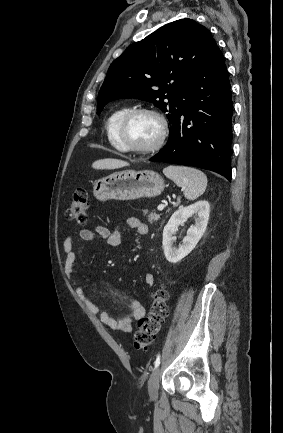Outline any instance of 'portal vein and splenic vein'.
<instances>
[{"label":"portal vein and splenic vein","instance_id":"obj_1","mask_svg":"<svg viewBox=\"0 0 283 433\" xmlns=\"http://www.w3.org/2000/svg\"><path fill=\"white\" fill-rule=\"evenodd\" d=\"M164 206H166V204H159V206H157L158 210H163Z\"/></svg>","mask_w":283,"mask_h":433}]
</instances>
